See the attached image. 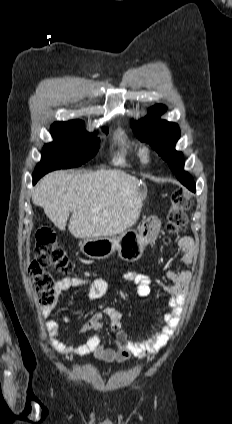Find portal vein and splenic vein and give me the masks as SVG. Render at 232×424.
<instances>
[{"label":"portal vein and splenic vein","mask_w":232,"mask_h":424,"mask_svg":"<svg viewBox=\"0 0 232 424\" xmlns=\"http://www.w3.org/2000/svg\"><path fill=\"white\" fill-rule=\"evenodd\" d=\"M92 210H93L94 212H97V211H98V210H97V209H95V208H94V209H92Z\"/></svg>","instance_id":"1"}]
</instances>
